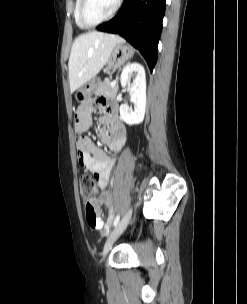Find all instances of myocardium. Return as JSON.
Masks as SVG:
<instances>
[{
  "label": "myocardium",
  "mask_w": 247,
  "mask_h": 304,
  "mask_svg": "<svg viewBox=\"0 0 247 304\" xmlns=\"http://www.w3.org/2000/svg\"><path fill=\"white\" fill-rule=\"evenodd\" d=\"M87 3H88V0H80L79 12H78L79 22L84 28H93V27H97V26L113 19L116 16V14L118 13V11L120 10L123 0H118L114 10L108 16L95 23H89L85 18V9H86Z\"/></svg>",
  "instance_id": "f54148a6"
}]
</instances>
